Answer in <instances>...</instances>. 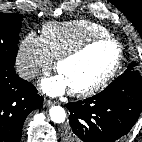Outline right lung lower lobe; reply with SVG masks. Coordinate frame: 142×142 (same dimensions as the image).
Instances as JSON below:
<instances>
[{
    "instance_id": "obj_1",
    "label": "right lung lower lobe",
    "mask_w": 142,
    "mask_h": 142,
    "mask_svg": "<svg viewBox=\"0 0 142 142\" xmlns=\"http://www.w3.org/2000/svg\"><path fill=\"white\" fill-rule=\"evenodd\" d=\"M42 104L33 84L20 78L15 69L0 68V142H20L26 117Z\"/></svg>"
}]
</instances>
